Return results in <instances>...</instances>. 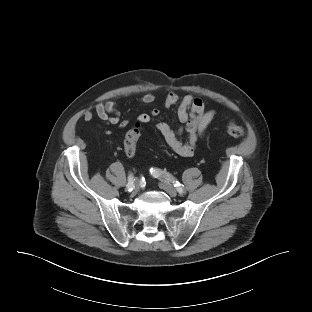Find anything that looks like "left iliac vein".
Listing matches in <instances>:
<instances>
[{"label":"left iliac vein","instance_id":"4c4485c4","mask_svg":"<svg viewBox=\"0 0 312 312\" xmlns=\"http://www.w3.org/2000/svg\"><path fill=\"white\" fill-rule=\"evenodd\" d=\"M159 186L162 190L168 193L171 197H175L177 195V190L172 185L166 182H161ZM183 193H185V191Z\"/></svg>","mask_w":312,"mask_h":312}]
</instances>
